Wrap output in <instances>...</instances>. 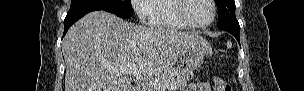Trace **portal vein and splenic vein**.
Listing matches in <instances>:
<instances>
[{"mask_svg":"<svg viewBox=\"0 0 304 91\" xmlns=\"http://www.w3.org/2000/svg\"><path fill=\"white\" fill-rule=\"evenodd\" d=\"M114 73L117 75H124V74L132 75L133 77L136 78V80L145 83L147 86L153 88L155 91H165L166 88L174 89L173 86L168 85L158 79H155V80L144 79L143 76L139 72H136L134 66L121 67V68L115 70Z\"/></svg>","mask_w":304,"mask_h":91,"instance_id":"obj_1","label":"portal vein and splenic vein"}]
</instances>
